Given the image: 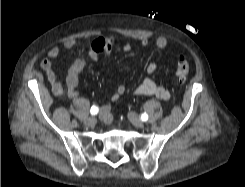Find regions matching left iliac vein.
Wrapping results in <instances>:
<instances>
[{
  "mask_svg": "<svg viewBox=\"0 0 245 187\" xmlns=\"http://www.w3.org/2000/svg\"><path fill=\"white\" fill-rule=\"evenodd\" d=\"M128 118L135 127H137V128H143L144 127L143 121L138 117V115L135 112L130 111L128 113Z\"/></svg>",
  "mask_w": 245,
  "mask_h": 187,
  "instance_id": "4c4485c4",
  "label": "left iliac vein"
}]
</instances>
